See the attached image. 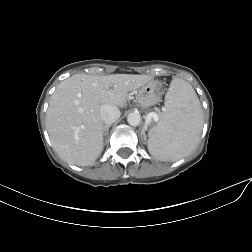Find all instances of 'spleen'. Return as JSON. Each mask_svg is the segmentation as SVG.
Masks as SVG:
<instances>
[{
    "label": "spleen",
    "mask_w": 252,
    "mask_h": 252,
    "mask_svg": "<svg viewBox=\"0 0 252 252\" xmlns=\"http://www.w3.org/2000/svg\"><path fill=\"white\" fill-rule=\"evenodd\" d=\"M203 127L200 101L191 84L174 78L165 95L161 121L149 131L148 150L161 161H176L196 146Z\"/></svg>",
    "instance_id": "spleen-1"
}]
</instances>
